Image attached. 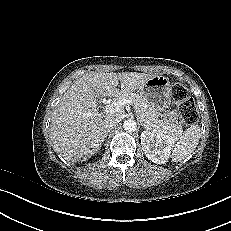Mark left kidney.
<instances>
[{
  "label": "left kidney",
  "instance_id": "1",
  "mask_svg": "<svg viewBox=\"0 0 231 231\" xmlns=\"http://www.w3.org/2000/svg\"><path fill=\"white\" fill-rule=\"evenodd\" d=\"M174 141L173 137L155 131L141 133V145L146 157L157 164L167 162Z\"/></svg>",
  "mask_w": 231,
  "mask_h": 231
}]
</instances>
